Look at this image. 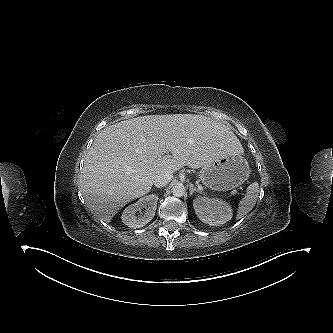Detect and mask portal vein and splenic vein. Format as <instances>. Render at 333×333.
I'll list each match as a JSON object with an SVG mask.
<instances>
[{
    "label": "portal vein and splenic vein",
    "instance_id": "portal-vein-and-splenic-vein-1",
    "mask_svg": "<svg viewBox=\"0 0 333 333\" xmlns=\"http://www.w3.org/2000/svg\"><path fill=\"white\" fill-rule=\"evenodd\" d=\"M200 189L202 190V189H203V187H202V186H200Z\"/></svg>",
    "mask_w": 333,
    "mask_h": 333
}]
</instances>
